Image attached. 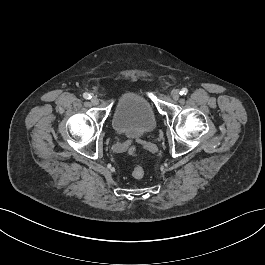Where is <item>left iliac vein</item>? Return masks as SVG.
Here are the masks:
<instances>
[{
    "mask_svg": "<svg viewBox=\"0 0 265 265\" xmlns=\"http://www.w3.org/2000/svg\"><path fill=\"white\" fill-rule=\"evenodd\" d=\"M171 96L174 100H178L179 97H180V91L178 89H174L172 92H171Z\"/></svg>",
    "mask_w": 265,
    "mask_h": 265,
    "instance_id": "1",
    "label": "left iliac vein"
}]
</instances>
